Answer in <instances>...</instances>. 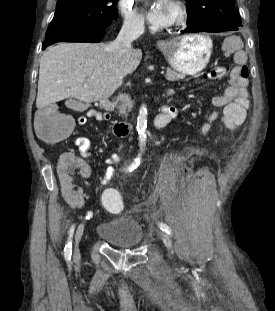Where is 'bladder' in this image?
I'll list each match as a JSON object with an SVG mask.
<instances>
[{
  "label": "bladder",
  "instance_id": "1",
  "mask_svg": "<svg viewBox=\"0 0 275 311\" xmlns=\"http://www.w3.org/2000/svg\"><path fill=\"white\" fill-rule=\"evenodd\" d=\"M96 233L110 246L121 249L136 248L143 243L144 238L142 226L128 213L99 223Z\"/></svg>",
  "mask_w": 275,
  "mask_h": 311
}]
</instances>
